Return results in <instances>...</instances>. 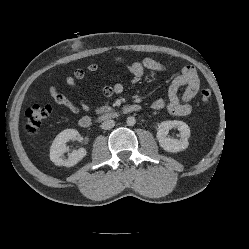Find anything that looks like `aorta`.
<instances>
[{
	"mask_svg": "<svg viewBox=\"0 0 249 249\" xmlns=\"http://www.w3.org/2000/svg\"><path fill=\"white\" fill-rule=\"evenodd\" d=\"M126 123H127V125H129V126H133V125H135L136 120H135L134 117L131 116V117H128V118H127Z\"/></svg>",
	"mask_w": 249,
	"mask_h": 249,
	"instance_id": "1",
	"label": "aorta"
}]
</instances>
